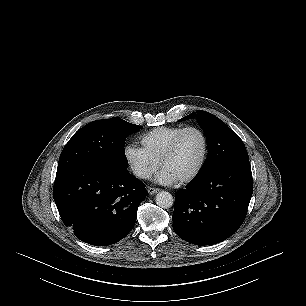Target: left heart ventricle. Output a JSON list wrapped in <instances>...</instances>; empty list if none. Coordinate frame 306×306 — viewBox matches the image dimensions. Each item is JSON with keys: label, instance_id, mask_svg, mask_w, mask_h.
<instances>
[{"label": "left heart ventricle", "instance_id": "b2bd125f", "mask_svg": "<svg viewBox=\"0 0 306 306\" xmlns=\"http://www.w3.org/2000/svg\"><path fill=\"white\" fill-rule=\"evenodd\" d=\"M204 149L201 135L196 131L187 132L181 139L175 154L165 163L167 170L177 180L190 175L200 163Z\"/></svg>", "mask_w": 306, "mask_h": 306}]
</instances>
